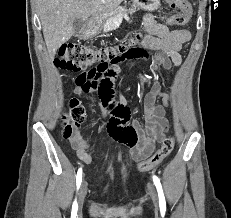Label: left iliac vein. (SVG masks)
Returning <instances> with one entry per match:
<instances>
[{"label": "left iliac vein", "instance_id": "1", "mask_svg": "<svg viewBox=\"0 0 231 218\" xmlns=\"http://www.w3.org/2000/svg\"><path fill=\"white\" fill-rule=\"evenodd\" d=\"M148 192H149V195L152 199V202H153L155 208L158 209V204H159L158 195H157V192H156L154 185L150 182L148 183Z\"/></svg>", "mask_w": 231, "mask_h": 218}]
</instances>
